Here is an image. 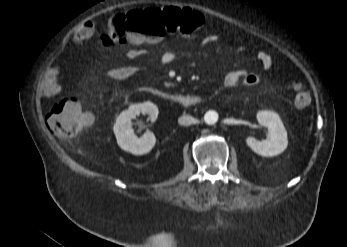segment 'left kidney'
Segmentation results:
<instances>
[{
  "label": "left kidney",
  "mask_w": 347,
  "mask_h": 247,
  "mask_svg": "<svg viewBox=\"0 0 347 247\" xmlns=\"http://www.w3.org/2000/svg\"><path fill=\"white\" fill-rule=\"evenodd\" d=\"M257 120L261 126L269 129V138L258 141L254 137L246 139L247 145L257 154L264 157L276 156L288 146L287 131L279 117L273 111H259Z\"/></svg>",
  "instance_id": "left-kidney-1"
}]
</instances>
